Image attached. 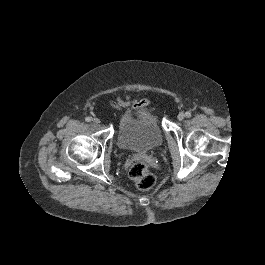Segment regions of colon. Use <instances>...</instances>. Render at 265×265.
Returning a JSON list of instances; mask_svg holds the SVG:
<instances>
[{
  "instance_id": "colon-1",
  "label": "colon",
  "mask_w": 265,
  "mask_h": 265,
  "mask_svg": "<svg viewBox=\"0 0 265 265\" xmlns=\"http://www.w3.org/2000/svg\"><path fill=\"white\" fill-rule=\"evenodd\" d=\"M129 176L140 190H150L156 182L154 174L142 161L135 162L131 166Z\"/></svg>"
}]
</instances>
